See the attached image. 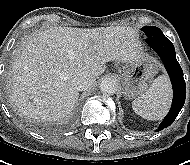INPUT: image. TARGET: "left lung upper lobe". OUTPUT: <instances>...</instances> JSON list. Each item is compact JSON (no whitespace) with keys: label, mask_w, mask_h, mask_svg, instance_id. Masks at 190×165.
Wrapping results in <instances>:
<instances>
[{"label":"left lung upper lobe","mask_w":190,"mask_h":165,"mask_svg":"<svg viewBox=\"0 0 190 165\" xmlns=\"http://www.w3.org/2000/svg\"><path fill=\"white\" fill-rule=\"evenodd\" d=\"M141 30L146 34L147 39H152L157 36H164L162 31L158 27H155V26L143 27Z\"/></svg>","instance_id":"1"}]
</instances>
